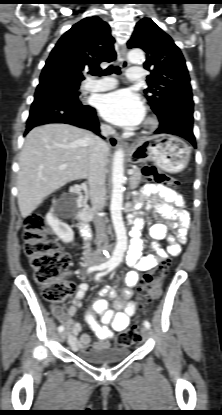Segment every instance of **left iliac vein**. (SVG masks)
<instances>
[{
	"mask_svg": "<svg viewBox=\"0 0 222 415\" xmlns=\"http://www.w3.org/2000/svg\"><path fill=\"white\" fill-rule=\"evenodd\" d=\"M141 336L144 340H146L149 337V329L147 327H141Z\"/></svg>",
	"mask_w": 222,
	"mask_h": 415,
	"instance_id": "1",
	"label": "left iliac vein"
}]
</instances>
